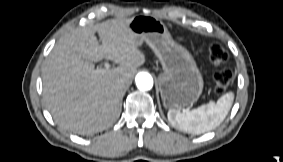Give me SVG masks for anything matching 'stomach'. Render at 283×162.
<instances>
[{
  "label": "stomach",
  "instance_id": "1",
  "mask_svg": "<svg viewBox=\"0 0 283 162\" xmlns=\"http://www.w3.org/2000/svg\"><path fill=\"white\" fill-rule=\"evenodd\" d=\"M126 28L141 45L145 41L161 62L159 90L165 108H182L196 102L203 89V78L191 53L173 40L165 24L153 16L138 15Z\"/></svg>",
  "mask_w": 283,
  "mask_h": 162
}]
</instances>
